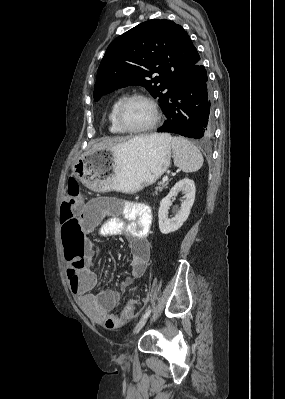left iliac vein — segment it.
I'll use <instances>...</instances> for the list:
<instances>
[{"mask_svg":"<svg viewBox=\"0 0 285 399\" xmlns=\"http://www.w3.org/2000/svg\"><path fill=\"white\" fill-rule=\"evenodd\" d=\"M147 321H148V317L142 319V320L135 326V328H134V334H137V333L145 326V324L147 323Z\"/></svg>","mask_w":285,"mask_h":399,"instance_id":"left-iliac-vein-1","label":"left iliac vein"}]
</instances>
